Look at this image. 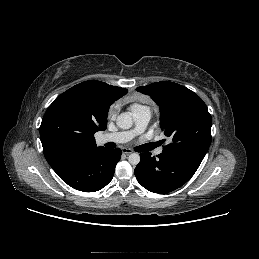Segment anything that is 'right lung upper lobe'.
<instances>
[{
	"label": "right lung upper lobe",
	"instance_id": "right-lung-upper-lobe-1",
	"mask_svg": "<svg viewBox=\"0 0 259 259\" xmlns=\"http://www.w3.org/2000/svg\"><path fill=\"white\" fill-rule=\"evenodd\" d=\"M126 93L125 88L89 80L59 95L48 107L40 126L43 152L50 166L68 155L97 149L95 132L106 129L109 106ZM56 118L69 119L77 126V138L68 146H54L44 137L45 127Z\"/></svg>",
	"mask_w": 259,
	"mask_h": 259
}]
</instances>
